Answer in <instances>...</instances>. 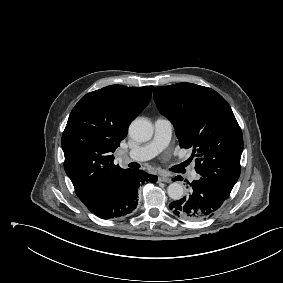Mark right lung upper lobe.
Here are the masks:
<instances>
[{
	"mask_svg": "<svg viewBox=\"0 0 283 283\" xmlns=\"http://www.w3.org/2000/svg\"><path fill=\"white\" fill-rule=\"evenodd\" d=\"M152 86L111 85L83 96L62 135L64 169L88 205L118 185L129 171L113 163L127 128L149 103Z\"/></svg>",
	"mask_w": 283,
	"mask_h": 283,
	"instance_id": "right-lung-upper-lobe-1",
	"label": "right lung upper lobe"
}]
</instances>
